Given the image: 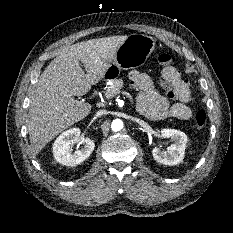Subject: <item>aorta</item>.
<instances>
[{"label":"aorta","instance_id":"aorta-1","mask_svg":"<svg viewBox=\"0 0 233 233\" xmlns=\"http://www.w3.org/2000/svg\"><path fill=\"white\" fill-rule=\"evenodd\" d=\"M123 128V122L120 119H115L112 121L111 129L114 132L120 131Z\"/></svg>","mask_w":233,"mask_h":233}]
</instances>
